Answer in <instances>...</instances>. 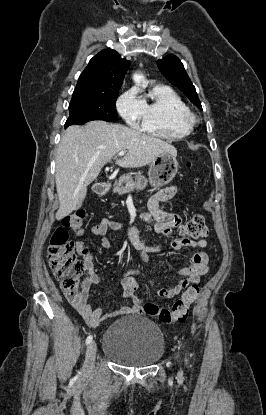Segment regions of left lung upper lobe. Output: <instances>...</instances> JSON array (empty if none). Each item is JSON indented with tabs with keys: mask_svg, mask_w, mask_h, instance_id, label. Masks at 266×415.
I'll return each instance as SVG.
<instances>
[{
	"mask_svg": "<svg viewBox=\"0 0 266 415\" xmlns=\"http://www.w3.org/2000/svg\"><path fill=\"white\" fill-rule=\"evenodd\" d=\"M157 65L167 80L183 91L194 105L202 109L195 87L178 57L170 54L158 60Z\"/></svg>",
	"mask_w": 266,
	"mask_h": 415,
	"instance_id": "5c2ea615",
	"label": "left lung upper lobe"
}]
</instances>
